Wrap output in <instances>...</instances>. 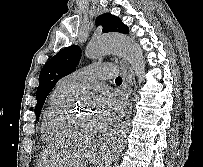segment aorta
Returning <instances> with one entry per match:
<instances>
[{
	"mask_svg": "<svg viewBox=\"0 0 203 167\" xmlns=\"http://www.w3.org/2000/svg\"><path fill=\"white\" fill-rule=\"evenodd\" d=\"M118 54L131 65L139 81L145 74V63L142 50L133 39L121 34H105L91 40L85 49V56L98 59L108 54ZM130 131L129 121L118 125L108 136L104 144V167H111L112 163L122 152Z\"/></svg>",
	"mask_w": 203,
	"mask_h": 167,
	"instance_id": "obj_1",
	"label": "aorta"
}]
</instances>
